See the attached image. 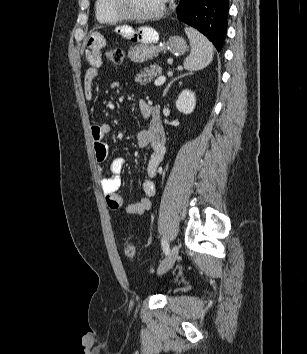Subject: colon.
I'll use <instances>...</instances> for the list:
<instances>
[{"mask_svg": "<svg viewBox=\"0 0 307 354\" xmlns=\"http://www.w3.org/2000/svg\"><path fill=\"white\" fill-rule=\"evenodd\" d=\"M107 58L113 63H121L124 58V53L119 48H111L106 53ZM123 255L128 259H135L137 257V249L135 245L128 239L122 242Z\"/></svg>", "mask_w": 307, "mask_h": 354, "instance_id": "1", "label": "colon"}]
</instances>
